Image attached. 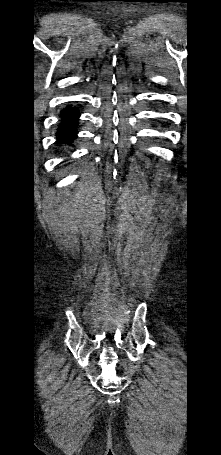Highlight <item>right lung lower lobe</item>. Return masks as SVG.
Here are the masks:
<instances>
[{
	"mask_svg": "<svg viewBox=\"0 0 221 455\" xmlns=\"http://www.w3.org/2000/svg\"><path fill=\"white\" fill-rule=\"evenodd\" d=\"M79 117L80 113L75 107L68 106L60 112L61 120L56 133L57 144L70 146L77 138Z\"/></svg>",
	"mask_w": 221,
	"mask_h": 455,
	"instance_id": "98d812e1",
	"label": "right lung lower lobe"
}]
</instances>
